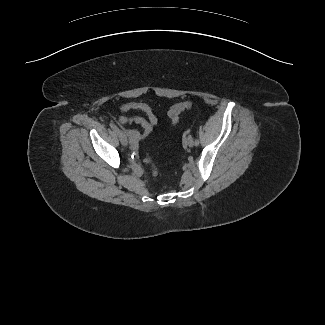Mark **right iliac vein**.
<instances>
[{
  "label": "right iliac vein",
  "mask_w": 325,
  "mask_h": 325,
  "mask_svg": "<svg viewBox=\"0 0 325 325\" xmlns=\"http://www.w3.org/2000/svg\"><path fill=\"white\" fill-rule=\"evenodd\" d=\"M118 137H119L121 144L124 146H127L128 140H127L126 135L122 131L119 132Z\"/></svg>",
  "instance_id": "right-iliac-vein-1"
}]
</instances>
